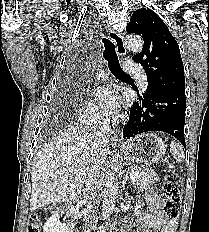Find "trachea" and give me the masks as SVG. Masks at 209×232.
I'll use <instances>...</instances> for the list:
<instances>
[{
    "label": "trachea",
    "instance_id": "trachea-1",
    "mask_svg": "<svg viewBox=\"0 0 209 232\" xmlns=\"http://www.w3.org/2000/svg\"><path fill=\"white\" fill-rule=\"evenodd\" d=\"M104 44L103 57L108 62V67L111 73L117 78L128 79L130 76L126 74L120 67L118 56L115 51V45L112 41L107 38H103Z\"/></svg>",
    "mask_w": 209,
    "mask_h": 232
}]
</instances>
